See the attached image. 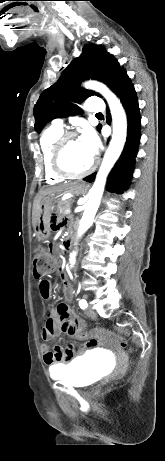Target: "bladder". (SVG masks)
I'll list each match as a JSON object with an SVG mask.
<instances>
[{
    "instance_id": "obj_1",
    "label": "bladder",
    "mask_w": 165,
    "mask_h": 461,
    "mask_svg": "<svg viewBox=\"0 0 165 461\" xmlns=\"http://www.w3.org/2000/svg\"><path fill=\"white\" fill-rule=\"evenodd\" d=\"M106 372L102 358L98 354L89 353L65 365L56 366L52 376L74 387L85 388L103 377Z\"/></svg>"
}]
</instances>
